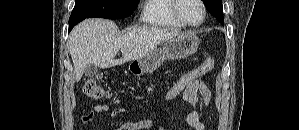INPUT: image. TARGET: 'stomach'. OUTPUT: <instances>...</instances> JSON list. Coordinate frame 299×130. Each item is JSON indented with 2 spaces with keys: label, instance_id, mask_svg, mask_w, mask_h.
Segmentation results:
<instances>
[{
  "label": "stomach",
  "instance_id": "stomach-1",
  "mask_svg": "<svg viewBox=\"0 0 299 130\" xmlns=\"http://www.w3.org/2000/svg\"><path fill=\"white\" fill-rule=\"evenodd\" d=\"M199 38L191 32L182 33L166 41L161 48H155L142 58L129 64L132 74L151 73L159 68L165 60L183 59L194 54L199 46Z\"/></svg>",
  "mask_w": 299,
  "mask_h": 130
}]
</instances>
